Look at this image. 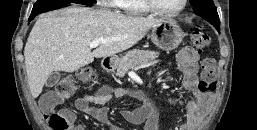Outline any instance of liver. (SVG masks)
<instances>
[{"label": "liver", "mask_w": 257, "mask_h": 130, "mask_svg": "<svg viewBox=\"0 0 257 130\" xmlns=\"http://www.w3.org/2000/svg\"><path fill=\"white\" fill-rule=\"evenodd\" d=\"M161 19L124 16L107 10L71 7L42 14L24 48L31 94L37 98L48 77L57 71L74 72L94 58L114 56L142 38ZM94 40H104L94 51Z\"/></svg>", "instance_id": "liver-1"}]
</instances>
